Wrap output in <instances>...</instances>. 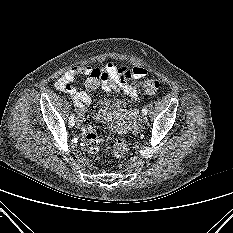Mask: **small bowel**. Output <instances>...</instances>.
<instances>
[{"instance_id": "c3829d8e", "label": "small bowel", "mask_w": 233, "mask_h": 233, "mask_svg": "<svg viewBox=\"0 0 233 233\" xmlns=\"http://www.w3.org/2000/svg\"><path fill=\"white\" fill-rule=\"evenodd\" d=\"M93 68L91 66H76L66 72L57 82L56 86L61 91L69 94L79 110L80 117L85 115L86 106L91 103L90 96L78 89L72 84L76 77L80 75L88 76ZM106 75L107 80L102 83V88L107 93H114L123 91L129 95L133 100L137 99V85L135 83H129L134 79L145 76L147 71L142 67H117L113 63H107L104 68L101 69Z\"/></svg>"}]
</instances>
